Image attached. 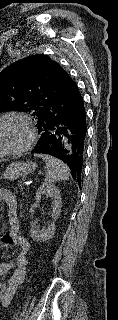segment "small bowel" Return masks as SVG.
<instances>
[{
  "mask_svg": "<svg viewBox=\"0 0 118 320\" xmlns=\"http://www.w3.org/2000/svg\"><path fill=\"white\" fill-rule=\"evenodd\" d=\"M1 197L7 200L9 195L1 194ZM13 227L17 228L15 221L11 220V228ZM24 266H25V260L23 258H18L13 266L11 264L0 265V276L6 273L8 270H10L12 267L14 269L3 291H2V288L0 287V303L2 306L6 307L9 305L16 287L22 282L24 277Z\"/></svg>",
  "mask_w": 118,
  "mask_h": 320,
  "instance_id": "1",
  "label": "small bowel"
}]
</instances>
